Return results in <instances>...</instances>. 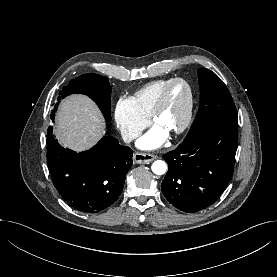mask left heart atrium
Here are the masks:
<instances>
[{
	"instance_id": "39dd6f15",
	"label": "left heart atrium",
	"mask_w": 277,
	"mask_h": 277,
	"mask_svg": "<svg viewBox=\"0 0 277 277\" xmlns=\"http://www.w3.org/2000/svg\"><path fill=\"white\" fill-rule=\"evenodd\" d=\"M167 138L168 133L155 125L150 131L137 140V146L145 150L156 149L163 145Z\"/></svg>"
}]
</instances>
